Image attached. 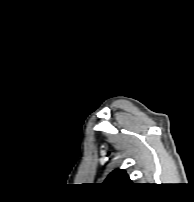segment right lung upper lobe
<instances>
[{
	"instance_id": "right-lung-upper-lobe-1",
	"label": "right lung upper lobe",
	"mask_w": 194,
	"mask_h": 202,
	"mask_svg": "<svg viewBox=\"0 0 194 202\" xmlns=\"http://www.w3.org/2000/svg\"><path fill=\"white\" fill-rule=\"evenodd\" d=\"M105 184L123 185L131 184V180L124 170H115L112 172L104 182Z\"/></svg>"
}]
</instances>
